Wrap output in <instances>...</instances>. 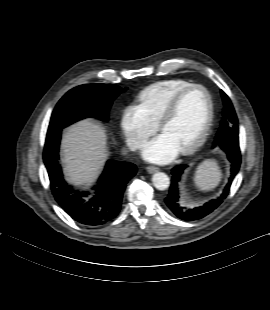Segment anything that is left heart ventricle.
<instances>
[{
  "instance_id": "left-heart-ventricle-1",
  "label": "left heart ventricle",
  "mask_w": 270,
  "mask_h": 310,
  "mask_svg": "<svg viewBox=\"0 0 270 310\" xmlns=\"http://www.w3.org/2000/svg\"><path fill=\"white\" fill-rule=\"evenodd\" d=\"M208 111L205 93L194 90L187 93L180 101L174 116L167 122L161 133L179 150L187 148L202 132Z\"/></svg>"
}]
</instances>
